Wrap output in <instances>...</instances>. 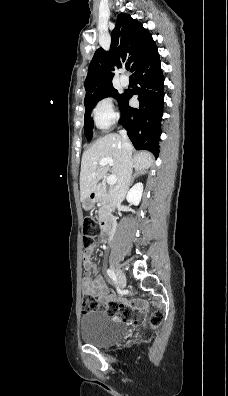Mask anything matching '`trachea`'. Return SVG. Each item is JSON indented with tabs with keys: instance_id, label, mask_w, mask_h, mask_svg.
Masks as SVG:
<instances>
[{
	"instance_id": "obj_1",
	"label": "trachea",
	"mask_w": 228,
	"mask_h": 396,
	"mask_svg": "<svg viewBox=\"0 0 228 396\" xmlns=\"http://www.w3.org/2000/svg\"><path fill=\"white\" fill-rule=\"evenodd\" d=\"M129 68H130V66H129V65H126V69L129 70Z\"/></svg>"
}]
</instances>
